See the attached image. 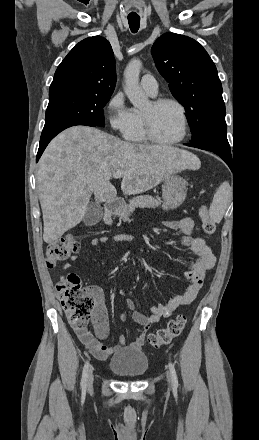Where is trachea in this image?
<instances>
[{
  "label": "trachea",
  "mask_w": 259,
  "mask_h": 440,
  "mask_svg": "<svg viewBox=\"0 0 259 440\" xmlns=\"http://www.w3.org/2000/svg\"><path fill=\"white\" fill-rule=\"evenodd\" d=\"M129 27L132 33H136L139 29L140 18H128Z\"/></svg>",
  "instance_id": "trachea-1"
}]
</instances>
